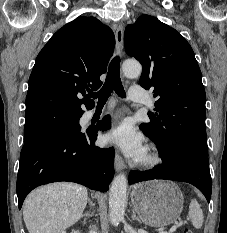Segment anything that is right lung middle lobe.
I'll use <instances>...</instances> for the list:
<instances>
[{
	"label": "right lung middle lobe",
	"instance_id": "dd1d6c3e",
	"mask_svg": "<svg viewBox=\"0 0 227 233\" xmlns=\"http://www.w3.org/2000/svg\"><path fill=\"white\" fill-rule=\"evenodd\" d=\"M81 126L79 125V119L67 122L65 124H62L54 129H51L49 131L39 133V134H34V135H26L24 136V142H30L32 140L41 138L43 136L49 135V134H54V133H75V132H80Z\"/></svg>",
	"mask_w": 227,
	"mask_h": 233
}]
</instances>
